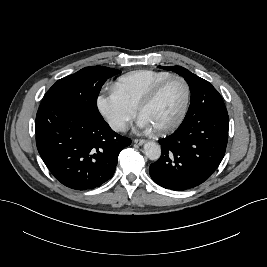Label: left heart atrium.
Listing matches in <instances>:
<instances>
[{"label": "left heart atrium", "mask_w": 267, "mask_h": 267, "mask_svg": "<svg viewBox=\"0 0 267 267\" xmlns=\"http://www.w3.org/2000/svg\"><path fill=\"white\" fill-rule=\"evenodd\" d=\"M137 126L140 130H151L152 126L150 125V123L147 121L146 118H144L143 116L140 115L138 122H137Z\"/></svg>", "instance_id": "1"}]
</instances>
